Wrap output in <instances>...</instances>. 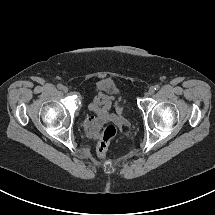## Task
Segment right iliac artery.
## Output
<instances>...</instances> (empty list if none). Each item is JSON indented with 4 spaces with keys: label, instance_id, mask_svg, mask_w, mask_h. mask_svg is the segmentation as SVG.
Segmentation results:
<instances>
[{
    "label": "right iliac artery",
    "instance_id": "obj_1",
    "mask_svg": "<svg viewBox=\"0 0 215 215\" xmlns=\"http://www.w3.org/2000/svg\"><path fill=\"white\" fill-rule=\"evenodd\" d=\"M57 88H58V89H62V88H63V85H62V84H58V85H57Z\"/></svg>",
    "mask_w": 215,
    "mask_h": 215
}]
</instances>
